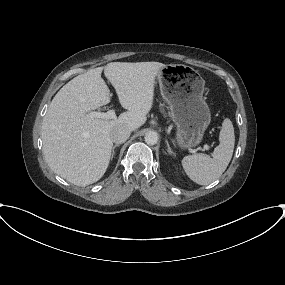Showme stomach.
<instances>
[{
	"mask_svg": "<svg viewBox=\"0 0 285 285\" xmlns=\"http://www.w3.org/2000/svg\"><path fill=\"white\" fill-rule=\"evenodd\" d=\"M157 78L176 127L175 144L183 150L198 146L211 122L210 109L203 98V78L197 71L179 64L165 65Z\"/></svg>",
	"mask_w": 285,
	"mask_h": 285,
	"instance_id": "0dacf381",
	"label": "stomach"
}]
</instances>
